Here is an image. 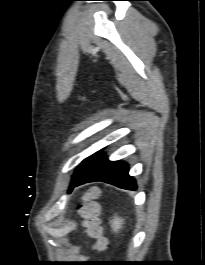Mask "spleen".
I'll list each match as a JSON object with an SVG mask.
<instances>
[{"mask_svg": "<svg viewBox=\"0 0 205 265\" xmlns=\"http://www.w3.org/2000/svg\"><path fill=\"white\" fill-rule=\"evenodd\" d=\"M123 221L124 220L122 218L114 216V218L110 221L112 230L114 232H118L122 228Z\"/></svg>", "mask_w": 205, "mask_h": 265, "instance_id": "spleen-1", "label": "spleen"}]
</instances>
